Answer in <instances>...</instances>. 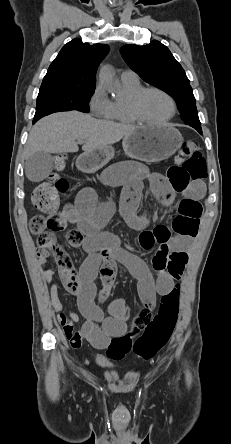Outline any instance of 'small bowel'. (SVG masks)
Returning <instances> with one entry per match:
<instances>
[{
    "instance_id": "small-bowel-1",
    "label": "small bowel",
    "mask_w": 231,
    "mask_h": 444,
    "mask_svg": "<svg viewBox=\"0 0 231 444\" xmlns=\"http://www.w3.org/2000/svg\"><path fill=\"white\" fill-rule=\"evenodd\" d=\"M102 183L110 187L122 186L120 211L128 225L140 231L139 244L150 250L158 245L153 258V277L147 265L137 256L121 246L120 239L102 227L109 221L115 211L113 201L97 202L96 193L91 188L81 190L75 202L66 206L72 215V223L77 228L67 235L72 247H81L87 254L78 276L79 290L77 304L84 322L80 329H75L78 315L68 312L58 295L55 283V272L47 268L49 256L44 250L38 252V264L47 284L51 305L58 314V321L63 333L73 347H80L83 341L93 347L104 349L114 337L127 332L131 309L123 300L114 301L104 314L99 303L105 301L115 278L117 263L123 264L138 281V295L148 309L156 306L157 295L164 296L175 287L188 262V245L190 237L178 234L159 236L155 230L146 228L147 219L137 214V205L145 182L149 184L153 195L163 204L170 206L176 193L184 199L197 202L205 192L204 184L192 182L186 187L178 188L159 173H151L146 167L135 162H119L105 168L101 174ZM100 275L103 288L98 293L95 279Z\"/></svg>"
}]
</instances>
